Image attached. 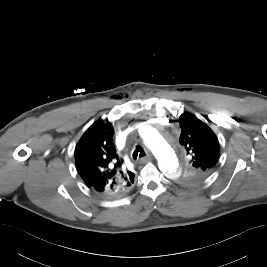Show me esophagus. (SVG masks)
<instances>
[{"instance_id":"obj_1","label":"esophagus","mask_w":267,"mask_h":267,"mask_svg":"<svg viewBox=\"0 0 267 267\" xmlns=\"http://www.w3.org/2000/svg\"><path fill=\"white\" fill-rule=\"evenodd\" d=\"M150 160H151V157L150 156L142 157L140 159V163L149 162Z\"/></svg>"}]
</instances>
